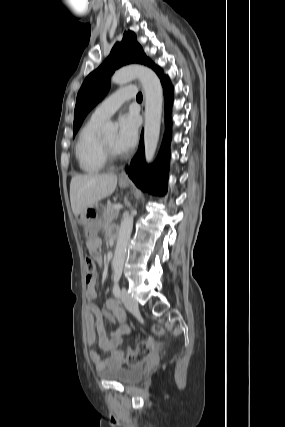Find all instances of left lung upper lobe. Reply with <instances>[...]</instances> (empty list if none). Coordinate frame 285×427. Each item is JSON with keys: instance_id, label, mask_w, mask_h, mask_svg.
<instances>
[{"instance_id": "1", "label": "left lung upper lobe", "mask_w": 285, "mask_h": 427, "mask_svg": "<svg viewBox=\"0 0 285 427\" xmlns=\"http://www.w3.org/2000/svg\"><path fill=\"white\" fill-rule=\"evenodd\" d=\"M130 63H139L151 68L155 66L137 43L135 34L128 31L124 33L122 41L114 45L109 57L83 82L74 111V136L86 114L106 95L114 70Z\"/></svg>"}]
</instances>
